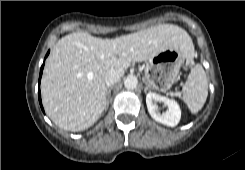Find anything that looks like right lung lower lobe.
Returning a JSON list of instances; mask_svg holds the SVG:
<instances>
[{"label":"right lung lower lobe","mask_w":245,"mask_h":170,"mask_svg":"<svg viewBox=\"0 0 245 170\" xmlns=\"http://www.w3.org/2000/svg\"><path fill=\"white\" fill-rule=\"evenodd\" d=\"M48 54H49V52L47 53L46 57L48 56ZM43 67H44V64L42 65L41 70H40L39 85H40V80H41V76H42V72H43ZM38 96H39V102H40L41 108L43 110L42 102H41L40 88L38 89ZM43 112H44V110H43Z\"/></svg>","instance_id":"98d812e1"}]
</instances>
